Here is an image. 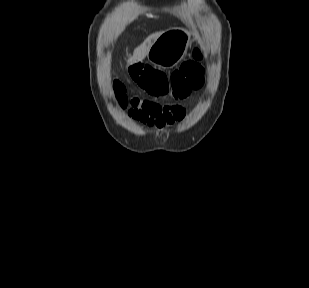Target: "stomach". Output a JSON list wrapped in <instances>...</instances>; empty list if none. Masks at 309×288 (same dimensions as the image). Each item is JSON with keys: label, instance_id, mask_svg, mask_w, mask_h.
<instances>
[{"label": "stomach", "instance_id": "obj_1", "mask_svg": "<svg viewBox=\"0 0 309 288\" xmlns=\"http://www.w3.org/2000/svg\"><path fill=\"white\" fill-rule=\"evenodd\" d=\"M190 38L191 34L183 28L163 32L152 44L148 61L163 69L176 66L186 54Z\"/></svg>", "mask_w": 309, "mask_h": 288}]
</instances>
